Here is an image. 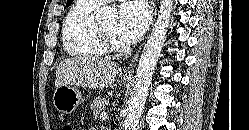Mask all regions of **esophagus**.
<instances>
[{
	"mask_svg": "<svg viewBox=\"0 0 249 130\" xmlns=\"http://www.w3.org/2000/svg\"><path fill=\"white\" fill-rule=\"evenodd\" d=\"M156 1H157V0H151V6H152V9H153V14H154V20H153V22L155 21L156 14H157ZM141 48H142V46H141V47L139 48V50L136 52V54L134 55V57H133V59L131 60V62L129 63V65L121 72V75H122V76H125V77H130V76H132L133 71H134V67H135V65H136L137 58H138L139 53H140V51H141Z\"/></svg>",
	"mask_w": 249,
	"mask_h": 130,
	"instance_id": "obj_1",
	"label": "esophagus"
}]
</instances>
